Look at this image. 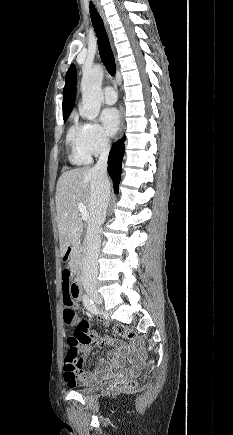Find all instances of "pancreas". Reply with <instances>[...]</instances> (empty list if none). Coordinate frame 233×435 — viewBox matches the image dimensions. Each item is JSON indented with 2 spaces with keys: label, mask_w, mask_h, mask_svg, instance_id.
Masks as SVG:
<instances>
[{
  "label": "pancreas",
  "mask_w": 233,
  "mask_h": 435,
  "mask_svg": "<svg viewBox=\"0 0 233 435\" xmlns=\"http://www.w3.org/2000/svg\"><path fill=\"white\" fill-rule=\"evenodd\" d=\"M84 262V249L80 246H76L70 256L69 266L74 272H78L81 269Z\"/></svg>",
  "instance_id": "obj_1"
}]
</instances>
